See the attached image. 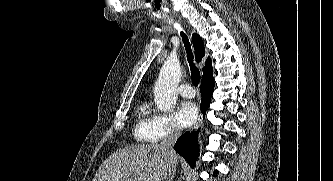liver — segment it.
Returning <instances> with one entry per match:
<instances>
[{"mask_svg":"<svg viewBox=\"0 0 333 181\" xmlns=\"http://www.w3.org/2000/svg\"><path fill=\"white\" fill-rule=\"evenodd\" d=\"M176 166L178 157L174 158ZM171 159L161 144L117 149L98 168L92 181H166Z\"/></svg>","mask_w":333,"mask_h":181,"instance_id":"obj_1","label":"liver"}]
</instances>
